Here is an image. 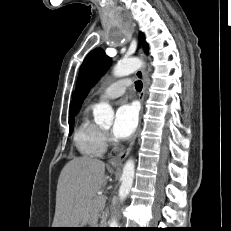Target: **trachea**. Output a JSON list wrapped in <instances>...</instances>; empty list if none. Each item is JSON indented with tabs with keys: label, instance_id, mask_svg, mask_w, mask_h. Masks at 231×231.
<instances>
[{
	"label": "trachea",
	"instance_id": "3493384b",
	"mask_svg": "<svg viewBox=\"0 0 231 231\" xmlns=\"http://www.w3.org/2000/svg\"><path fill=\"white\" fill-rule=\"evenodd\" d=\"M142 87H143V85H142L141 81H138V82L135 83V88H136L137 91H141Z\"/></svg>",
	"mask_w": 231,
	"mask_h": 231
}]
</instances>
